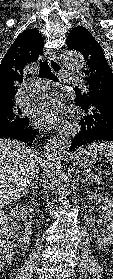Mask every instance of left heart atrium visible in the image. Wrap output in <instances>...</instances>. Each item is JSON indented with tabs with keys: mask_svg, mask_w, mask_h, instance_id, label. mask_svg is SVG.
<instances>
[{
	"mask_svg": "<svg viewBox=\"0 0 113 279\" xmlns=\"http://www.w3.org/2000/svg\"><path fill=\"white\" fill-rule=\"evenodd\" d=\"M66 106L56 97L46 96L40 100L34 109V118L39 126L54 128L59 126L65 118Z\"/></svg>",
	"mask_w": 113,
	"mask_h": 279,
	"instance_id": "39dd6f15",
	"label": "left heart atrium"
}]
</instances>
